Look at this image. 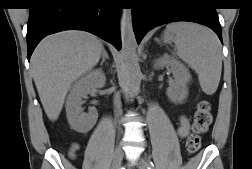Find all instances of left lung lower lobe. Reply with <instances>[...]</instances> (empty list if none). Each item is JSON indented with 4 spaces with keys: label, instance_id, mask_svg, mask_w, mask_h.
Instances as JSON below:
<instances>
[{
    "label": "left lung lower lobe",
    "instance_id": "0a47b994",
    "mask_svg": "<svg viewBox=\"0 0 252 169\" xmlns=\"http://www.w3.org/2000/svg\"><path fill=\"white\" fill-rule=\"evenodd\" d=\"M212 0H169L158 3L154 8L132 9L133 27L137 43L151 29L170 22L189 21L211 28L222 42L221 26ZM196 6V7H195Z\"/></svg>",
    "mask_w": 252,
    "mask_h": 169
}]
</instances>
